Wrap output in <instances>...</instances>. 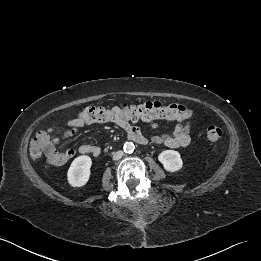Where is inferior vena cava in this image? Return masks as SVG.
<instances>
[{"mask_svg": "<svg viewBox=\"0 0 261 261\" xmlns=\"http://www.w3.org/2000/svg\"><path fill=\"white\" fill-rule=\"evenodd\" d=\"M123 156V151L119 150L115 153H113V160L117 161L119 159H121Z\"/></svg>", "mask_w": 261, "mask_h": 261, "instance_id": "1", "label": "inferior vena cava"}]
</instances>
